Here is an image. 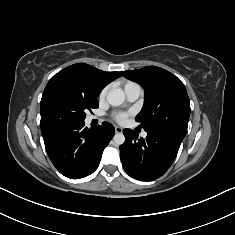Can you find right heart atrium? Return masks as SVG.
I'll use <instances>...</instances> for the list:
<instances>
[{
	"instance_id": "d8ad5b80",
	"label": "right heart atrium",
	"mask_w": 235,
	"mask_h": 235,
	"mask_svg": "<svg viewBox=\"0 0 235 235\" xmlns=\"http://www.w3.org/2000/svg\"><path fill=\"white\" fill-rule=\"evenodd\" d=\"M106 93H107V88L102 89L99 94V98L103 99L105 97Z\"/></svg>"
}]
</instances>
